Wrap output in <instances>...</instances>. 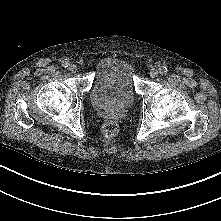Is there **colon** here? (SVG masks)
<instances>
[{"mask_svg": "<svg viewBox=\"0 0 221 221\" xmlns=\"http://www.w3.org/2000/svg\"><path fill=\"white\" fill-rule=\"evenodd\" d=\"M118 130L119 128H118L117 123L112 120L105 122L102 127V133L107 138H112L116 136V134L118 133Z\"/></svg>", "mask_w": 221, "mask_h": 221, "instance_id": "5ec220e1", "label": "colon"}]
</instances>
